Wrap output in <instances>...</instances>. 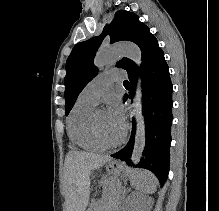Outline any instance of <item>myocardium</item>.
Wrapping results in <instances>:
<instances>
[{
  "label": "myocardium",
  "instance_id": "myocardium-1",
  "mask_svg": "<svg viewBox=\"0 0 219 211\" xmlns=\"http://www.w3.org/2000/svg\"><path fill=\"white\" fill-rule=\"evenodd\" d=\"M102 107H95L91 113V127L92 130L97 137L98 140H100L102 143H104L107 146H117L121 144L126 137V130H123L120 135H118L115 138H110L107 135H105L102 130L99 127L98 121H97V113L99 109Z\"/></svg>",
  "mask_w": 219,
  "mask_h": 211
}]
</instances>
